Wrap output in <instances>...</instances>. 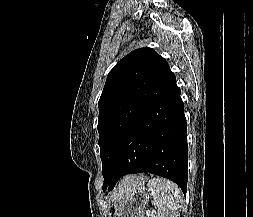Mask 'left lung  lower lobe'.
<instances>
[{"label": "left lung lower lobe", "instance_id": "left-lung-lower-lobe-1", "mask_svg": "<svg viewBox=\"0 0 253 217\" xmlns=\"http://www.w3.org/2000/svg\"><path fill=\"white\" fill-rule=\"evenodd\" d=\"M187 127L176 83L144 111L119 144L112 174L103 190H112L124 175L150 172L187 191Z\"/></svg>", "mask_w": 253, "mask_h": 217}]
</instances>
